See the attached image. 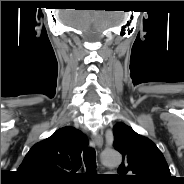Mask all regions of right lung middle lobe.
I'll list each match as a JSON object with an SVG mask.
<instances>
[{
	"mask_svg": "<svg viewBox=\"0 0 184 184\" xmlns=\"http://www.w3.org/2000/svg\"><path fill=\"white\" fill-rule=\"evenodd\" d=\"M32 183H36V184H46V183H43V182H32Z\"/></svg>",
	"mask_w": 184,
	"mask_h": 184,
	"instance_id": "right-lung-middle-lobe-1",
	"label": "right lung middle lobe"
}]
</instances>
